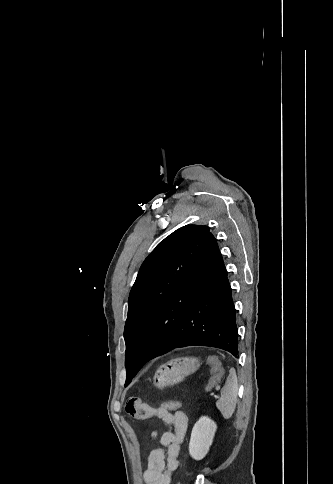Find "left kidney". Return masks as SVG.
Masks as SVG:
<instances>
[{
    "mask_svg": "<svg viewBox=\"0 0 333 484\" xmlns=\"http://www.w3.org/2000/svg\"><path fill=\"white\" fill-rule=\"evenodd\" d=\"M216 429V423L206 416L195 423L189 443V453L193 459L201 460L207 455Z\"/></svg>",
    "mask_w": 333,
    "mask_h": 484,
    "instance_id": "left-kidney-1",
    "label": "left kidney"
}]
</instances>
